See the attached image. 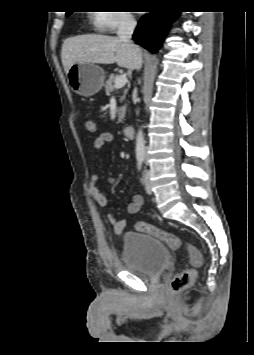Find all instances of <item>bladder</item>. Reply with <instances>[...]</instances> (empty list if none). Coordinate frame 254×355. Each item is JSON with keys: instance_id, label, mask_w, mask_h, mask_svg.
Instances as JSON below:
<instances>
[{"instance_id": "obj_1", "label": "bladder", "mask_w": 254, "mask_h": 355, "mask_svg": "<svg viewBox=\"0 0 254 355\" xmlns=\"http://www.w3.org/2000/svg\"><path fill=\"white\" fill-rule=\"evenodd\" d=\"M122 260L124 266L148 278L161 276L169 261V252L158 238L139 233L123 236Z\"/></svg>"}]
</instances>
